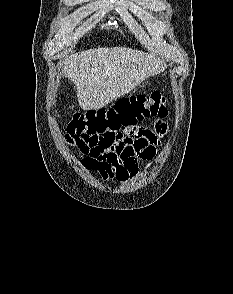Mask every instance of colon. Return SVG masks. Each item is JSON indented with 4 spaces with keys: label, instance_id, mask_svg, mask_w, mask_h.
<instances>
[{
    "label": "colon",
    "instance_id": "obj_1",
    "mask_svg": "<svg viewBox=\"0 0 233 294\" xmlns=\"http://www.w3.org/2000/svg\"><path fill=\"white\" fill-rule=\"evenodd\" d=\"M167 115L165 99L160 92L121 99L113 108L76 113L67 125V139L85 156H98L105 149H123L133 137H125L131 126L142 120ZM135 144V142H134ZM113 158L119 154H110Z\"/></svg>",
    "mask_w": 233,
    "mask_h": 294
}]
</instances>
